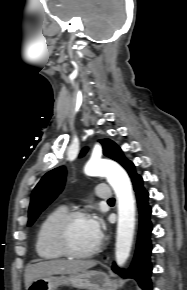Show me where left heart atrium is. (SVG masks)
I'll return each mask as SVG.
<instances>
[{
	"label": "left heart atrium",
	"mask_w": 187,
	"mask_h": 290,
	"mask_svg": "<svg viewBox=\"0 0 187 290\" xmlns=\"http://www.w3.org/2000/svg\"><path fill=\"white\" fill-rule=\"evenodd\" d=\"M89 221L94 233L100 239L102 236V224L100 220L96 216H91L89 217Z\"/></svg>",
	"instance_id": "1"
}]
</instances>
